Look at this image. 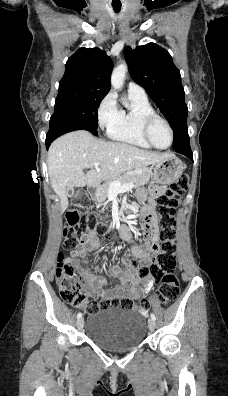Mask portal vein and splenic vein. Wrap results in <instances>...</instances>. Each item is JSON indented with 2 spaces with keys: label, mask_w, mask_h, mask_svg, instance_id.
<instances>
[{
  "label": "portal vein and splenic vein",
  "mask_w": 228,
  "mask_h": 396,
  "mask_svg": "<svg viewBox=\"0 0 228 396\" xmlns=\"http://www.w3.org/2000/svg\"><path fill=\"white\" fill-rule=\"evenodd\" d=\"M94 166L98 167L99 163L95 162ZM133 187H134V184L132 182L121 184L119 181H113L111 183V192H114V193L125 192L128 190H131Z\"/></svg>",
  "instance_id": "1"
}]
</instances>
